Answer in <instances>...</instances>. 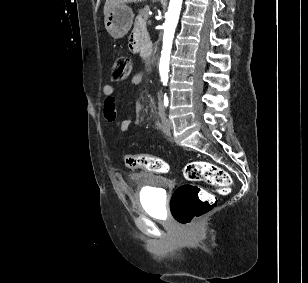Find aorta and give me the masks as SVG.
I'll return each mask as SVG.
<instances>
[{"mask_svg": "<svg viewBox=\"0 0 308 283\" xmlns=\"http://www.w3.org/2000/svg\"><path fill=\"white\" fill-rule=\"evenodd\" d=\"M183 0H170L166 21L164 24L163 49L159 64V72L163 85H166L169 78L170 52L174 32L178 23Z\"/></svg>", "mask_w": 308, "mask_h": 283, "instance_id": "aorta-1", "label": "aorta"}]
</instances>
